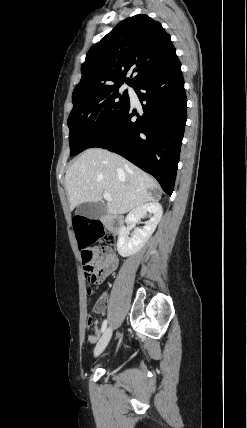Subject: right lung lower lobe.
<instances>
[{
	"mask_svg": "<svg viewBox=\"0 0 247 428\" xmlns=\"http://www.w3.org/2000/svg\"><path fill=\"white\" fill-rule=\"evenodd\" d=\"M134 90L142 112L138 114L129 103L89 148L100 147L120 154L153 175L163 191L171 195L187 120V98L178 57L146 77Z\"/></svg>",
	"mask_w": 247,
	"mask_h": 428,
	"instance_id": "1",
	"label": "right lung lower lobe"
}]
</instances>
